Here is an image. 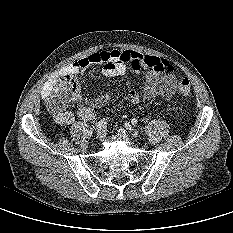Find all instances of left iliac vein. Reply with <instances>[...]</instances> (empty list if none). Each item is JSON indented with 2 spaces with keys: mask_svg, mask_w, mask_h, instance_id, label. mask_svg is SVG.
<instances>
[{
  "mask_svg": "<svg viewBox=\"0 0 233 233\" xmlns=\"http://www.w3.org/2000/svg\"><path fill=\"white\" fill-rule=\"evenodd\" d=\"M131 134L133 137H137L138 136V131L136 129H131ZM118 136L120 138H122L123 140H129V134L127 133L126 130L120 128L118 130Z\"/></svg>",
  "mask_w": 233,
  "mask_h": 233,
  "instance_id": "obj_1",
  "label": "left iliac vein"
}]
</instances>
